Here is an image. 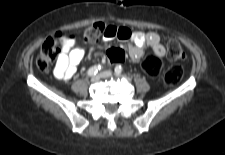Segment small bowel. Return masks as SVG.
<instances>
[{
    "mask_svg": "<svg viewBox=\"0 0 225 155\" xmlns=\"http://www.w3.org/2000/svg\"><path fill=\"white\" fill-rule=\"evenodd\" d=\"M109 31L103 35L105 41L113 39L126 40L129 42V55L134 60L143 56L146 46L151 47L157 58H164L165 47L161 43L160 35L152 31H131L126 27L109 25ZM61 50L54 68L56 78L61 80L72 79L77 71V65L84 56V50L75 47L76 37L71 32H64L60 36Z\"/></svg>",
    "mask_w": 225,
    "mask_h": 155,
    "instance_id": "obj_1",
    "label": "small bowel"
}]
</instances>
